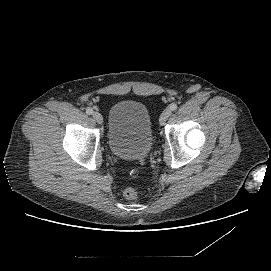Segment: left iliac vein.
Segmentation results:
<instances>
[{
    "mask_svg": "<svg viewBox=\"0 0 271 271\" xmlns=\"http://www.w3.org/2000/svg\"><path fill=\"white\" fill-rule=\"evenodd\" d=\"M170 115H171V110L169 108L165 109L160 115V119H159L160 124L164 125Z\"/></svg>",
    "mask_w": 271,
    "mask_h": 271,
    "instance_id": "1",
    "label": "left iliac vein"
}]
</instances>
